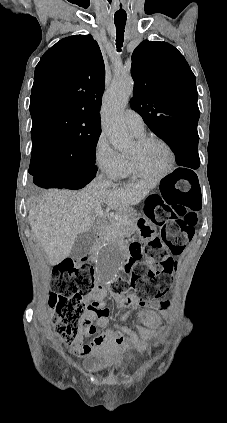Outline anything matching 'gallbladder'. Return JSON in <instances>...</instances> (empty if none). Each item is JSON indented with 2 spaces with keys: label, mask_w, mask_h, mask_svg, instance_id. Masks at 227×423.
<instances>
[{
  "label": "gallbladder",
  "mask_w": 227,
  "mask_h": 423,
  "mask_svg": "<svg viewBox=\"0 0 227 423\" xmlns=\"http://www.w3.org/2000/svg\"><path fill=\"white\" fill-rule=\"evenodd\" d=\"M95 233L93 229L91 231H86V233H81L76 237V241L71 249V257L73 259H80V257H84L90 251V247H92L95 241Z\"/></svg>",
  "instance_id": "gallbladder-1"
}]
</instances>
